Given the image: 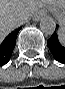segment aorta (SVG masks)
<instances>
[{
	"mask_svg": "<svg viewBox=\"0 0 65 89\" xmlns=\"http://www.w3.org/2000/svg\"><path fill=\"white\" fill-rule=\"evenodd\" d=\"M40 29L43 33L51 35L55 32L56 23L54 19L48 15L41 17L40 19Z\"/></svg>",
	"mask_w": 65,
	"mask_h": 89,
	"instance_id": "aorta-1",
	"label": "aorta"
}]
</instances>
